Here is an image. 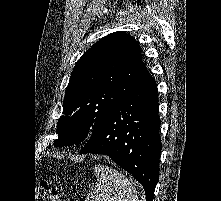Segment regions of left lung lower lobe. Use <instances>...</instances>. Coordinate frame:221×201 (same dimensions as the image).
<instances>
[{
	"label": "left lung lower lobe",
	"instance_id": "0a47b994",
	"mask_svg": "<svg viewBox=\"0 0 221 201\" xmlns=\"http://www.w3.org/2000/svg\"><path fill=\"white\" fill-rule=\"evenodd\" d=\"M157 85L150 77L118 102L80 154H104L130 173L152 201L159 177L161 139Z\"/></svg>",
	"mask_w": 221,
	"mask_h": 201
}]
</instances>
